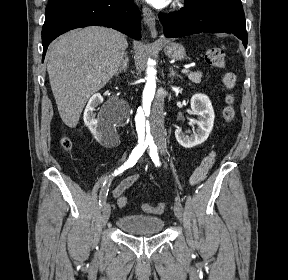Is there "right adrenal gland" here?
Returning a JSON list of instances; mask_svg holds the SVG:
<instances>
[{
    "label": "right adrenal gland",
    "mask_w": 288,
    "mask_h": 280,
    "mask_svg": "<svg viewBox=\"0 0 288 280\" xmlns=\"http://www.w3.org/2000/svg\"><path fill=\"white\" fill-rule=\"evenodd\" d=\"M128 62H129L128 56L125 54L124 59L122 60L118 70L115 73L116 76H118L120 73L128 69Z\"/></svg>",
    "instance_id": "1"
}]
</instances>
